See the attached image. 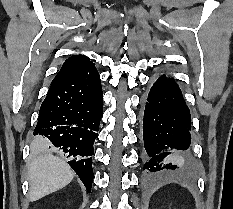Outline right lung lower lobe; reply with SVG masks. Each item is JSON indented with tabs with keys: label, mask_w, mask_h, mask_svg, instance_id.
<instances>
[{
	"label": "right lung lower lobe",
	"mask_w": 233,
	"mask_h": 209,
	"mask_svg": "<svg viewBox=\"0 0 233 209\" xmlns=\"http://www.w3.org/2000/svg\"><path fill=\"white\" fill-rule=\"evenodd\" d=\"M103 91L94 64L50 86L34 135L67 154L68 164L88 192L93 182V143L102 118Z\"/></svg>",
	"instance_id": "98d812e1"
}]
</instances>
